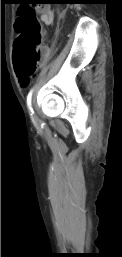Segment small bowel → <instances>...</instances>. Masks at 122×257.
Returning a JSON list of instances; mask_svg holds the SVG:
<instances>
[{
  "mask_svg": "<svg viewBox=\"0 0 122 257\" xmlns=\"http://www.w3.org/2000/svg\"><path fill=\"white\" fill-rule=\"evenodd\" d=\"M39 13H40V19L43 23H45L46 25H50L52 24L53 22V12L51 11L50 8L48 7H42V8H39ZM49 53V50L48 48H44L43 51H42V56L43 58L47 57ZM19 77V80H20V83L22 85H26L27 81H28V78H23V77Z\"/></svg>",
  "mask_w": 122,
  "mask_h": 257,
  "instance_id": "small-bowel-1",
  "label": "small bowel"
}]
</instances>
